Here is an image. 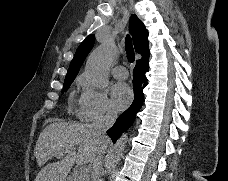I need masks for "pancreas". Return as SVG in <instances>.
I'll return each mask as SVG.
<instances>
[{"mask_svg": "<svg viewBox=\"0 0 228 181\" xmlns=\"http://www.w3.org/2000/svg\"><path fill=\"white\" fill-rule=\"evenodd\" d=\"M71 175L72 177H69L68 181H89V175H81V177H84V179H79L80 177L79 169H74Z\"/></svg>", "mask_w": 228, "mask_h": 181, "instance_id": "obj_1", "label": "pancreas"}]
</instances>
